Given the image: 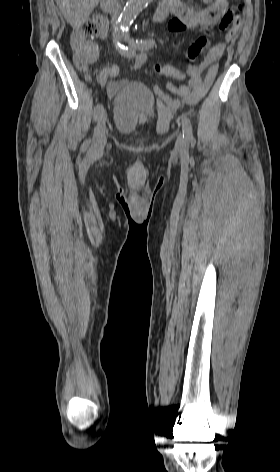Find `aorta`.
Returning a JSON list of instances; mask_svg holds the SVG:
<instances>
[{"label": "aorta", "instance_id": "obj_1", "mask_svg": "<svg viewBox=\"0 0 280 472\" xmlns=\"http://www.w3.org/2000/svg\"><path fill=\"white\" fill-rule=\"evenodd\" d=\"M151 0H129L124 7L119 17V24L121 27H128L130 22L137 16V14L147 6Z\"/></svg>", "mask_w": 280, "mask_h": 472}]
</instances>
